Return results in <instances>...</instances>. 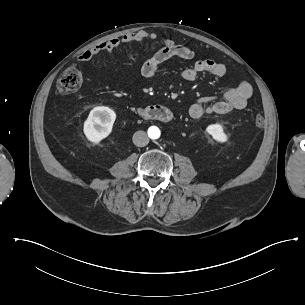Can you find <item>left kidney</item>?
I'll list each match as a JSON object with an SVG mask.
<instances>
[{
  "mask_svg": "<svg viewBox=\"0 0 305 305\" xmlns=\"http://www.w3.org/2000/svg\"><path fill=\"white\" fill-rule=\"evenodd\" d=\"M205 132L210 135L211 139L216 143L225 144L229 140V136L221 124H209L205 128Z\"/></svg>",
  "mask_w": 305,
  "mask_h": 305,
  "instance_id": "1",
  "label": "left kidney"
}]
</instances>
